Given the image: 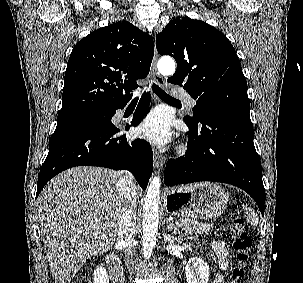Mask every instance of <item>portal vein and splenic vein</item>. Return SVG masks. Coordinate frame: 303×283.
<instances>
[{"label": "portal vein and splenic vein", "mask_w": 303, "mask_h": 283, "mask_svg": "<svg viewBox=\"0 0 303 283\" xmlns=\"http://www.w3.org/2000/svg\"><path fill=\"white\" fill-rule=\"evenodd\" d=\"M176 225H177V226H180V223L176 222Z\"/></svg>", "instance_id": "1"}]
</instances>
